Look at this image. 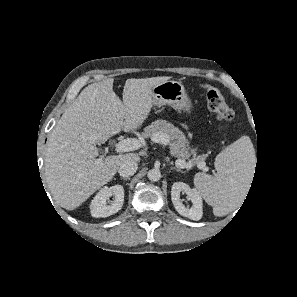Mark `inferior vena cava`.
I'll return each mask as SVG.
<instances>
[{"mask_svg": "<svg viewBox=\"0 0 297 297\" xmlns=\"http://www.w3.org/2000/svg\"><path fill=\"white\" fill-rule=\"evenodd\" d=\"M138 169V164L136 161L127 159L118 168V173L122 177L132 176Z\"/></svg>", "mask_w": 297, "mask_h": 297, "instance_id": "602c4592", "label": "inferior vena cava"}]
</instances>
